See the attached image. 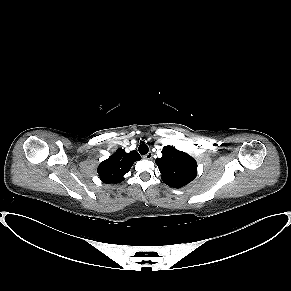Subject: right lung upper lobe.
<instances>
[{"label":"right lung upper lobe","mask_w":291,"mask_h":291,"mask_svg":"<svg viewBox=\"0 0 291 291\" xmlns=\"http://www.w3.org/2000/svg\"><path fill=\"white\" fill-rule=\"evenodd\" d=\"M137 151L126 153L124 149H118L108 159L100 163L97 173L104 183H119L124 180L123 176L129 172L133 163L140 160Z\"/></svg>","instance_id":"1"}]
</instances>
